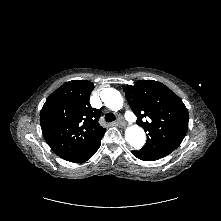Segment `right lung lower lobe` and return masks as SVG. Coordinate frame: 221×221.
Here are the masks:
<instances>
[{
    "label": "right lung lower lobe",
    "instance_id": "1",
    "mask_svg": "<svg viewBox=\"0 0 221 221\" xmlns=\"http://www.w3.org/2000/svg\"><path fill=\"white\" fill-rule=\"evenodd\" d=\"M103 135H101L100 137H98L92 144L90 147H88L85 151H83L80 155L68 160L70 162L73 163H82L87 161L88 159H90L98 150L100 144H101V139H102Z\"/></svg>",
    "mask_w": 221,
    "mask_h": 221
}]
</instances>
